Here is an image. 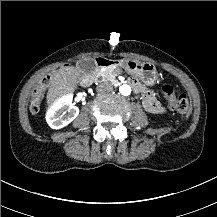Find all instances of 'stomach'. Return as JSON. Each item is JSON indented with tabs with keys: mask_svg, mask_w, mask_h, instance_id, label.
Here are the masks:
<instances>
[{
	"mask_svg": "<svg viewBox=\"0 0 217 217\" xmlns=\"http://www.w3.org/2000/svg\"><path fill=\"white\" fill-rule=\"evenodd\" d=\"M128 74L136 76L146 86H153L157 80L156 67L151 62L124 59L120 65Z\"/></svg>",
	"mask_w": 217,
	"mask_h": 217,
	"instance_id": "0dacf381",
	"label": "stomach"
}]
</instances>
